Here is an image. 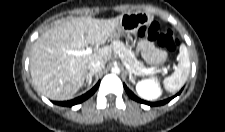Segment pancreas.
Returning a JSON list of instances; mask_svg holds the SVG:
<instances>
[{
	"mask_svg": "<svg viewBox=\"0 0 225 132\" xmlns=\"http://www.w3.org/2000/svg\"><path fill=\"white\" fill-rule=\"evenodd\" d=\"M110 48L135 75L142 74V71L147 69L144 64L135 57L134 52L120 40H114Z\"/></svg>",
	"mask_w": 225,
	"mask_h": 132,
	"instance_id": "cf45deb5",
	"label": "pancreas"
}]
</instances>
